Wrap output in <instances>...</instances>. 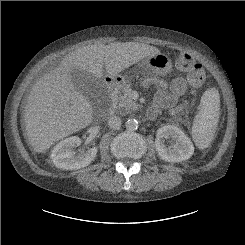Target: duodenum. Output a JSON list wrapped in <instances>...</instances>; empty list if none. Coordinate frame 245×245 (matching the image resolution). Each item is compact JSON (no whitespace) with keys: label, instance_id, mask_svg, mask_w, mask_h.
I'll return each instance as SVG.
<instances>
[{"label":"duodenum","instance_id":"1","mask_svg":"<svg viewBox=\"0 0 245 245\" xmlns=\"http://www.w3.org/2000/svg\"><path fill=\"white\" fill-rule=\"evenodd\" d=\"M106 85L109 95V104L105 111L106 116L112 117L116 113V99L119 90L123 86V82L118 77H109L106 79Z\"/></svg>","mask_w":245,"mask_h":245}]
</instances>
